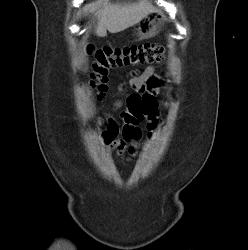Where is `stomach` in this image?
<instances>
[{
	"label": "stomach",
	"instance_id": "stomach-1",
	"mask_svg": "<svg viewBox=\"0 0 248 250\" xmlns=\"http://www.w3.org/2000/svg\"><path fill=\"white\" fill-rule=\"evenodd\" d=\"M157 18H159V15H156L154 19L151 20L146 16L142 22H139L137 31L141 38L148 39L153 37L157 33L156 28L153 26Z\"/></svg>",
	"mask_w": 248,
	"mask_h": 250
}]
</instances>
